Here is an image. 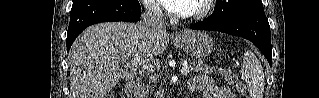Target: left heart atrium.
I'll use <instances>...</instances> for the list:
<instances>
[{
    "mask_svg": "<svg viewBox=\"0 0 319 98\" xmlns=\"http://www.w3.org/2000/svg\"><path fill=\"white\" fill-rule=\"evenodd\" d=\"M166 10L173 14L189 13L192 8V0H161Z\"/></svg>",
    "mask_w": 319,
    "mask_h": 98,
    "instance_id": "obj_1",
    "label": "left heart atrium"
}]
</instances>
